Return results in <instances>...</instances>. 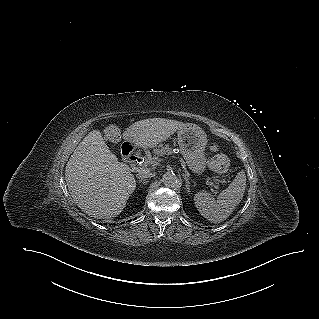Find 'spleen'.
I'll use <instances>...</instances> for the list:
<instances>
[{
    "label": "spleen",
    "mask_w": 319,
    "mask_h": 319,
    "mask_svg": "<svg viewBox=\"0 0 319 319\" xmlns=\"http://www.w3.org/2000/svg\"><path fill=\"white\" fill-rule=\"evenodd\" d=\"M245 189L246 175L242 170L216 199L207 192L196 193L194 196L195 206L200 214L210 222H223L239 205Z\"/></svg>",
    "instance_id": "3e777b00"
}]
</instances>
